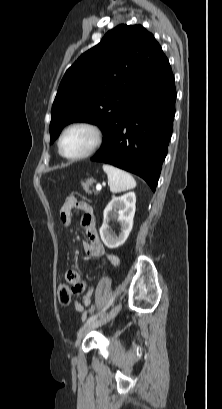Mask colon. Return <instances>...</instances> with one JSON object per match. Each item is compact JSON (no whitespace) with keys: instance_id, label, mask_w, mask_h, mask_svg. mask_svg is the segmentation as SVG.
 I'll return each mask as SVG.
<instances>
[{"instance_id":"colon-1","label":"colon","mask_w":222,"mask_h":409,"mask_svg":"<svg viewBox=\"0 0 222 409\" xmlns=\"http://www.w3.org/2000/svg\"><path fill=\"white\" fill-rule=\"evenodd\" d=\"M71 291H72V288H71L70 282H66L65 280H63V282L60 284L59 289H58V299L62 305H68L71 302V298H72ZM95 310H96L95 306H90L88 313L94 314Z\"/></svg>"}]
</instances>
